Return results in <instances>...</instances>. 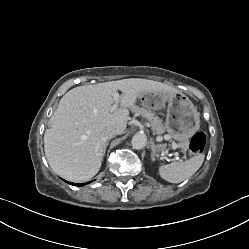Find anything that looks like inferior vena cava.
<instances>
[{"mask_svg": "<svg viewBox=\"0 0 249 249\" xmlns=\"http://www.w3.org/2000/svg\"><path fill=\"white\" fill-rule=\"evenodd\" d=\"M117 134H118V131L115 128L108 126L103 129L101 133V139L106 141V140L113 138Z\"/></svg>", "mask_w": 249, "mask_h": 249, "instance_id": "1", "label": "inferior vena cava"}]
</instances>
